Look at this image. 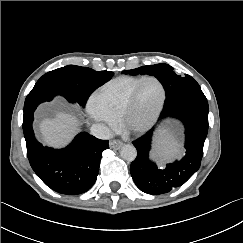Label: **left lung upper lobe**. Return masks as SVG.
Returning <instances> with one entry per match:
<instances>
[{
    "instance_id": "obj_1",
    "label": "left lung upper lobe",
    "mask_w": 243,
    "mask_h": 243,
    "mask_svg": "<svg viewBox=\"0 0 243 243\" xmlns=\"http://www.w3.org/2000/svg\"><path fill=\"white\" fill-rule=\"evenodd\" d=\"M131 75L149 74L155 76L164 86L166 92L165 105L194 91H200L199 84L191 76H179L170 65L161 63L156 65L142 66L130 71H124ZM164 105V106H165Z\"/></svg>"
}]
</instances>
